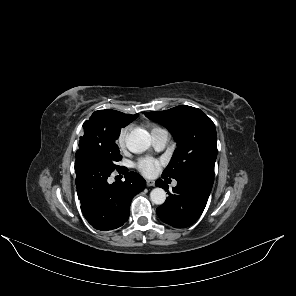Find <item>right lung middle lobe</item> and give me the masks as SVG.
I'll list each match as a JSON object with an SVG mask.
<instances>
[{"label":"right lung middle lobe","instance_id":"obj_1","mask_svg":"<svg viewBox=\"0 0 296 296\" xmlns=\"http://www.w3.org/2000/svg\"><path fill=\"white\" fill-rule=\"evenodd\" d=\"M128 122L114 121L109 127H97L93 130L84 128V135L80 138L79 151L98 157L110 171L118 170L121 166L117 162L121 160L120 150L115 143L121 128Z\"/></svg>","mask_w":296,"mask_h":296}]
</instances>
